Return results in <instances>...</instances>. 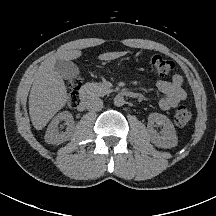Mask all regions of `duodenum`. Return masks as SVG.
Instances as JSON below:
<instances>
[{
	"mask_svg": "<svg viewBox=\"0 0 216 216\" xmlns=\"http://www.w3.org/2000/svg\"><path fill=\"white\" fill-rule=\"evenodd\" d=\"M117 94L124 96L126 98L131 99H139L141 95L135 91L128 90V89H122L117 92ZM88 100H87V91L85 88H82L79 93V104L78 109L83 110L87 106Z\"/></svg>",
	"mask_w": 216,
	"mask_h": 216,
	"instance_id": "410a0bca",
	"label": "duodenum"
}]
</instances>
